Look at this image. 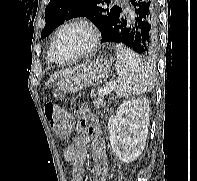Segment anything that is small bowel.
Listing matches in <instances>:
<instances>
[{
  "instance_id": "1",
  "label": "small bowel",
  "mask_w": 197,
  "mask_h": 181,
  "mask_svg": "<svg viewBox=\"0 0 197 181\" xmlns=\"http://www.w3.org/2000/svg\"><path fill=\"white\" fill-rule=\"evenodd\" d=\"M75 116L80 132L64 151L65 160L71 164V181H85L84 163L89 148L93 159L91 181H105L107 151L97 119L85 105L75 108Z\"/></svg>"
}]
</instances>
